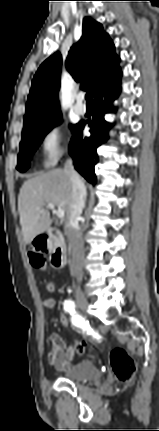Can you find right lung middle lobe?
I'll return each instance as SVG.
<instances>
[{"label": "right lung middle lobe", "mask_w": 159, "mask_h": 431, "mask_svg": "<svg viewBox=\"0 0 159 431\" xmlns=\"http://www.w3.org/2000/svg\"><path fill=\"white\" fill-rule=\"evenodd\" d=\"M61 121V114H58L32 128H29L22 133V140L20 143V152L18 155V164L16 169L20 172H25L30 166L32 155L37 150L46 134L51 131ZM77 127L72 125L71 129L74 131Z\"/></svg>", "instance_id": "1"}]
</instances>
